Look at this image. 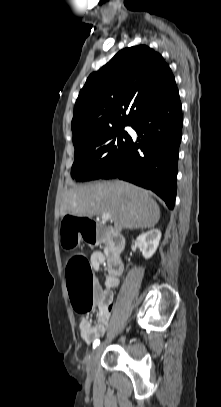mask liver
I'll return each instance as SVG.
<instances>
[{
  "label": "liver",
  "instance_id": "1",
  "mask_svg": "<svg viewBox=\"0 0 221 407\" xmlns=\"http://www.w3.org/2000/svg\"><path fill=\"white\" fill-rule=\"evenodd\" d=\"M109 213L117 231L154 227L160 208L149 192L123 181L76 186L65 192L61 216L93 217Z\"/></svg>",
  "mask_w": 221,
  "mask_h": 407
}]
</instances>
